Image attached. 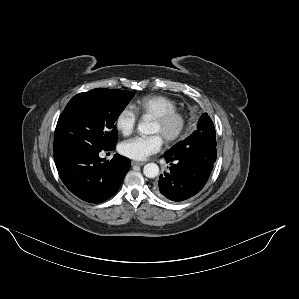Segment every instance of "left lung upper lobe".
Wrapping results in <instances>:
<instances>
[{"label": "left lung upper lobe", "mask_w": 299, "mask_h": 299, "mask_svg": "<svg viewBox=\"0 0 299 299\" xmlns=\"http://www.w3.org/2000/svg\"><path fill=\"white\" fill-rule=\"evenodd\" d=\"M201 140H205V142H208L206 146L211 151L210 156L214 158V160H216V132L213 122L207 113L202 114V116L199 118L197 129L185 140L175 144L170 150L165 153V155H173L180 150L193 145L198 146L199 144L195 142H200Z\"/></svg>", "instance_id": "obj_1"}]
</instances>
